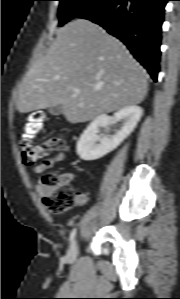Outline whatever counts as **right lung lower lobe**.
Instances as JSON below:
<instances>
[{"label": "right lung lower lobe", "mask_w": 180, "mask_h": 299, "mask_svg": "<svg viewBox=\"0 0 180 299\" xmlns=\"http://www.w3.org/2000/svg\"><path fill=\"white\" fill-rule=\"evenodd\" d=\"M168 0H103L78 18L99 24L120 39L157 81L161 25Z\"/></svg>", "instance_id": "right-lung-lower-lobe-1"}]
</instances>
